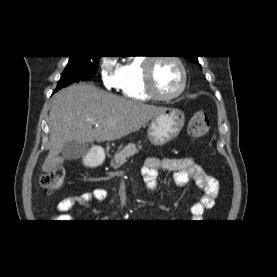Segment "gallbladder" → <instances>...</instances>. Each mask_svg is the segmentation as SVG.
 Segmentation results:
<instances>
[{
  "label": "gallbladder",
  "instance_id": "obj_1",
  "mask_svg": "<svg viewBox=\"0 0 277 277\" xmlns=\"http://www.w3.org/2000/svg\"><path fill=\"white\" fill-rule=\"evenodd\" d=\"M88 143H80L77 141H69L65 144L63 155L68 160H76L86 155L89 151Z\"/></svg>",
  "mask_w": 277,
  "mask_h": 277
}]
</instances>
